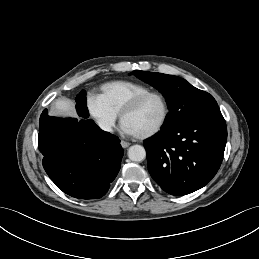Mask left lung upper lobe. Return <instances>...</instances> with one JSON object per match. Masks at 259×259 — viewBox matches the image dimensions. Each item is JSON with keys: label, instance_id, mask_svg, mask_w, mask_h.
Listing matches in <instances>:
<instances>
[{"label": "left lung upper lobe", "instance_id": "left-lung-upper-lobe-1", "mask_svg": "<svg viewBox=\"0 0 259 259\" xmlns=\"http://www.w3.org/2000/svg\"><path fill=\"white\" fill-rule=\"evenodd\" d=\"M130 74L150 83L165 97L169 113L161 130L221 114L212 95L197 89L183 78L140 70H135Z\"/></svg>", "mask_w": 259, "mask_h": 259}]
</instances>
